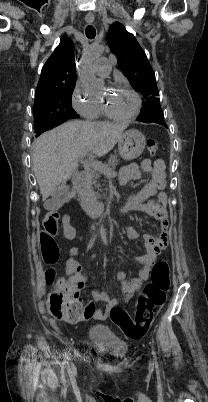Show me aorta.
I'll list each match as a JSON object with an SVG mask.
<instances>
[{"mask_svg":"<svg viewBox=\"0 0 208 402\" xmlns=\"http://www.w3.org/2000/svg\"><path fill=\"white\" fill-rule=\"evenodd\" d=\"M101 225H104V222H101ZM98 233L100 234V239H99L100 244H102L103 246H106L108 239H107V235L105 232V226H101V228L98 230Z\"/></svg>","mask_w":208,"mask_h":402,"instance_id":"obj_1","label":"aorta"}]
</instances>
